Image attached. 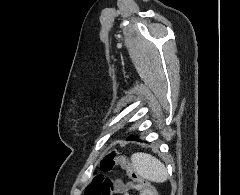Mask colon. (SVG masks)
<instances>
[{
	"instance_id": "colon-1",
	"label": "colon",
	"mask_w": 240,
	"mask_h": 195,
	"mask_svg": "<svg viewBox=\"0 0 240 195\" xmlns=\"http://www.w3.org/2000/svg\"><path fill=\"white\" fill-rule=\"evenodd\" d=\"M101 165L104 170H111L115 166H120L125 169V173L129 178L135 180V185L141 188L149 195H156V190L148 183L141 175L131 168L132 164L126 161L123 154L111 152L103 157ZM124 192V187L120 182L113 181L108 177L97 175L93 177L87 186L86 195H121Z\"/></svg>"
}]
</instances>
